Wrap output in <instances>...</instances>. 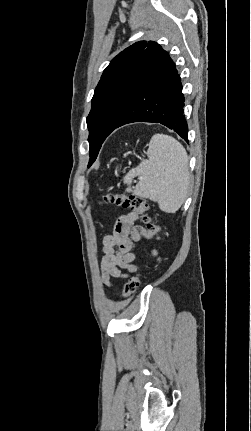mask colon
Listing matches in <instances>:
<instances>
[{"instance_id": "obj_1", "label": "colon", "mask_w": 251, "mask_h": 431, "mask_svg": "<svg viewBox=\"0 0 251 431\" xmlns=\"http://www.w3.org/2000/svg\"><path fill=\"white\" fill-rule=\"evenodd\" d=\"M104 203L115 204L124 208L131 209L133 212L141 216L142 221L146 226V230L152 235L159 234L161 228L156 224L149 214V203L144 198L135 194L108 193L102 198ZM140 285L139 274H135L128 279L124 286L123 297L129 298L132 296Z\"/></svg>"}]
</instances>
